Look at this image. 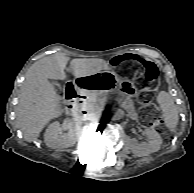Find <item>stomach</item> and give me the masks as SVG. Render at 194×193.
Instances as JSON below:
<instances>
[{"label":"stomach","instance_id":"obj_1","mask_svg":"<svg viewBox=\"0 0 194 193\" xmlns=\"http://www.w3.org/2000/svg\"><path fill=\"white\" fill-rule=\"evenodd\" d=\"M74 86L79 92H111L117 87L125 92L135 95L137 89L133 82L121 81L116 73L112 71L96 72L90 75L75 77Z\"/></svg>","mask_w":194,"mask_h":193}]
</instances>
